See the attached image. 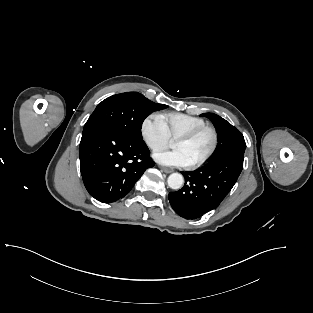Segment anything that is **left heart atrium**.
<instances>
[{
  "label": "left heart atrium",
  "mask_w": 313,
  "mask_h": 313,
  "mask_svg": "<svg viewBox=\"0 0 313 313\" xmlns=\"http://www.w3.org/2000/svg\"><path fill=\"white\" fill-rule=\"evenodd\" d=\"M153 157L158 163L166 166L186 167L191 164L187 155L178 148L156 152Z\"/></svg>",
  "instance_id": "39dd6f15"
}]
</instances>
